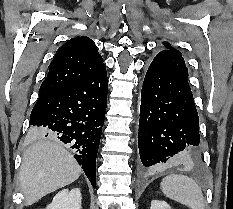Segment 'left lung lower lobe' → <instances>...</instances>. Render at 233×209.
Returning a JSON list of instances; mask_svg holds the SVG:
<instances>
[{
	"label": "left lung lower lobe",
	"instance_id": "0a47b994",
	"mask_svg": "<svg viewBox=\"0 0 233 209\" xmlns=\"http://www.w3.org/2000/svg\"><path fill=\"white\" fill-rule=\"evenodd\" d=\"M199 117L182 56L161 51L142 86L139 154L148 170L200 160Z\"/></svg>",
	"mask_w": 233,
	"mask_h": 209
}]
</instances>
